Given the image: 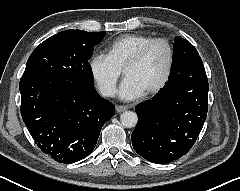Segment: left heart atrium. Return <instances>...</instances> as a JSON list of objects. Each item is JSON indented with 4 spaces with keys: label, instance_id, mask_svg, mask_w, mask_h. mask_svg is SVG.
Instances as JSON below:
<instances>
[{
    "label": "left heart atrium",
    "instance_id": "obj_1",
    "mask_svg": "<svg viewBox=\"0 0 240 191\" xmlns=\"http://www.w3.org/2000/svg\"><path fill=\"white\" fill-rule=\"evenodd\" d=\"M141 87L130 77H125L118 90V96L124 100H133L143 95Z\"/></svg>",
    "mask_w": 240,
    "mask_h": 191
}]
</instances>
